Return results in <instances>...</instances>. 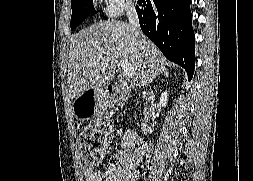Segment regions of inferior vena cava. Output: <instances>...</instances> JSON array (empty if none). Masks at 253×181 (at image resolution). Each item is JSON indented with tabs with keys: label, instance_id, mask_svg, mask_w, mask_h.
<instances>
[{
	"label": "inferior vena cava",
	"instance_id": "obj_1",
	"mask_svg": "<svg viewBox=\"0 0 253 181\" xmlns=\"http://www.w3.org/2000/svg\"><path fill=\"white\" fill-rule=\"evenodd\" d=\"M127 17L129 20V24L132 26V28L134 29V31L136 33V36L139 39H143L144 35H143L140 25H139V18H138L137 11L135 9L134 4H130L128 6Z\"/></svg>",
	"mask_w": 253,
	"mask_h": 181
}]
</instances>
